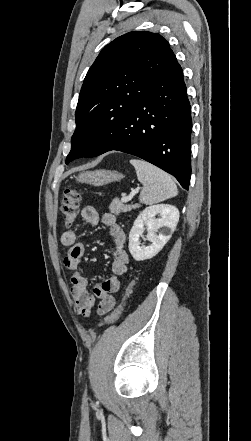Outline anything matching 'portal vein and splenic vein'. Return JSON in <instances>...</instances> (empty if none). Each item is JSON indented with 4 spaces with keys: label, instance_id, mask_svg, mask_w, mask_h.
<instances>
[{
    "label": "portal vein and splenic vein",
    "instance_id": "1",
    "mask_svg": "<svg viewBox=\"0 0 251 441\" xmlns=\"http://www.w3.org/2000/svg\"><path fill=\"white\" fill-rule=\"evenodd\" d=\"M138 192V189H135L134 191H132L131 193H130V195L129 196H123L122 198H121V201L122 202H127V201H130V200H132V198H133V196L136 194Z\"/></svg>",
    "mask_w": 251,
    "mask_h": 441
}]
</instances>
